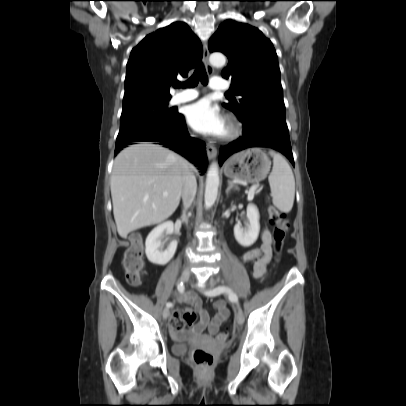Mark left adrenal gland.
<instances>
[{"instance_id": "left-adrenal-gland-1", "label": "left adrenal gland", "mask_w": 406, "mask_h": 406, "mask_svg": "<svg viewBox=\"0 0 406 406\" xmlns=\"http://www.w3.org/2000/svg\"><path fill=\"white\" fill-rule=\"evenodd\" d=\"M231 189L238 190V187L235 184H233L232 182L228 181V187L226 189V194H228Z\"/></svg>"}]
</instances>
